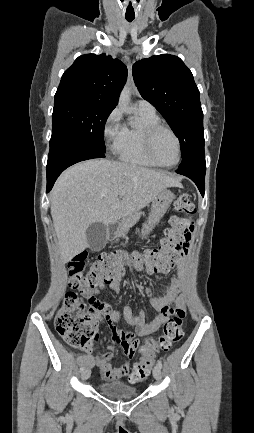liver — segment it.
<instances>
[{
	"label": "liver",
	"instance_id": "1",
	"mask_svg": "<svg viewBox=\"0 0 254 433\" xmlns=\"http://www.w3.org/2000/svg\"><path fill=\"white\" fill-rule=\"evenodd\" d=\"M178 186L179 180L165 171L107 159L67 169L51 193V215L63 263L88 247L89 225L114 224L146 207L162 190Z\"/></svg>",
	"mask_w": 254,
	"mask_h": 433
}]
</instances>
